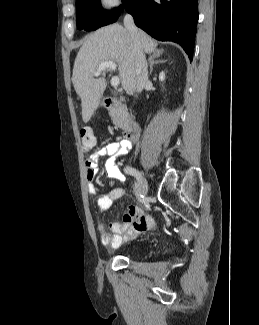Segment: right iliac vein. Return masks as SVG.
Returning <instances> with one entry per match:
<instances>
[{
	"label": "right iliac vein",
	"mask_w": 259,
	"mask_h": 325,
	"mask_svg": "<svg viewBox=\"0 0 259 325\" xmlns=\"http://www.w3.org/2000/svg\"><path fill=\"white\" fill-rule=\"evenodd\" d=\"M137 181V188L140 196L146 197L147 195V184L144 175L141 172L135 176Z\"/></svg>",
	"instance_id": "63e3f726"
}]
</instances>
